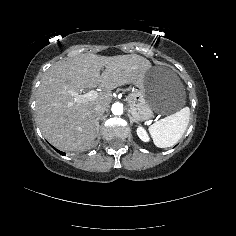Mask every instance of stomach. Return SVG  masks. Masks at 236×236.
<instances>
[{
  "mask_svg": "<svg viewBox=\"0 0 236 236\" xmlns=\"http://www.w3.org/2000/svg\"><path fill=\"white\" fill-rule=\"evenodd\" d=\"M127 102L135 121L148 120L153 112L172 114L185 105V89L179 78L161 67L150 69Z\"/></svg>",
  "mask_w": 236,
  "mask_h": 236,
  "instance_id": "obj_1",
  "label": "stomach"
}]
</instances>
